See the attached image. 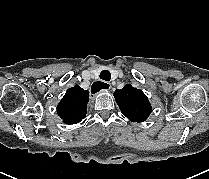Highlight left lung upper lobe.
Returning <instances> with one entry per match:
<instances>
[{
	"instance_id": "1",
	"label": "left lung upper lobe",
	"mask_w": 209,
	"mask_h": 179,
	"mask_svg": "<svg viewBox=\"0 0 209 179\" xmlns=\"http://www.w3.org/2000/svg\"><path fill=\"white\" fill-rule=\"evenodd\" d=\"M114 97L121 112L130 121L143 122L152 112L147 96L142 90L136 89L131 85H125L122 89L116 90Z\"/></svg>"
}]
</instances>
